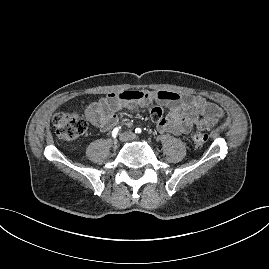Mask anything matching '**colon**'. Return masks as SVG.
<instances>
[{
	"label": "colon",
	"instance_id": "5ec220e1",
	"mask_svg": "<svg viewBox=\"0 0 269 269\" xmlns=\"http://www.w3.org/2000/svg\"><path fill=\"white\" fill-rule=\"evenodd\" d=\"M151 117L163 114L162 107L155 103L151 108ZM55 134L59 140L72 141L79 138L88 128L87 119L80 113L74 111L58 112L53 117ZM207 135L200 129L192 132L191 139L196 147H202L207 142Z\"/></svg>",
	"mask_w": 269,
	"mask_h": 269
}]
</instances>
